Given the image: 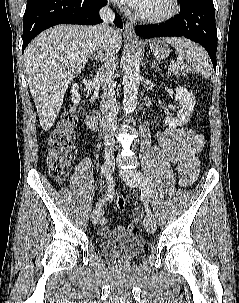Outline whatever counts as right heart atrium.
Masks as SVG:
<instances>
[{
	"mask_svg": "<svg viewBox=\"0 0 239 303\" xmlns=\"http://www.w3.org/2000/svg\"><path fill=\"white\" fill-rule=\"evenodd\" d=\"M111 6H117V0H109Z\"/></svg>",
	"mask_w": 239,
	"mask_h": 303,
	"instance_id": "obj_1",
	"label": "right heart atrium"
}]
</instances>
